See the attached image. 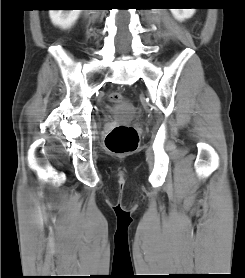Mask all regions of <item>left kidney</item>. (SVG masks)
<instances>
[{
    "label": "left kidney",
    "mask_w": 245,
    "mask_h": 278,
    "mask_svg": "<svg viewBox=\"0 0 245 278\" xmlns=\"http://www.w3.org/2000/svg\"><path fill=\"white\" fill-rule=\"evenodd\" d=\"M195 8L191 9H170L173 16L179 20L184 21L185 19L191 18L195 13Z\"/></svg>",
    "instance_id": "left-kidney-1"
}]
</instances>
